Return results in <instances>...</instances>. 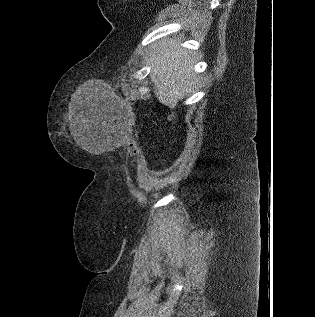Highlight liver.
I'll return each mask as SVG.
<instances>
[{
    "instance_id": "6515ba94",
    "label": "liver",
    "mask_w": 315,
    "mask_h": 317,
    "mask_svg": "<svg viewBox=\"0 0 315 317\" xmlns=\"http://www.w3.org/2000/svg\"><path fill=\"white\" fill-rule=\"evenodd\" d=\"M180 42L179 37L164 38L154 45L150 53V77L155 94L163 105L170 108L191 93L197 80L193 72L197 55L182 48ZM76 110L72 109L73 114L69 119L71 133L78 145L90 150L87 140L80 135L82 123Z\"/></svg>"
}]
</instances>
